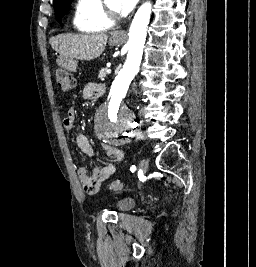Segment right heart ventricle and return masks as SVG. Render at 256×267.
<instances>
[{
  "label": "right heart ventricle",
  "instance_id": "obj_1",
  "mask_svg": "<svg viewBox=\"0 0 256 267\" xmlns=\"http://www.w3.org/2000/svg\"><path fill=\"white\" fill-rule=\"evenodd\" d=\"M80 7L85 11L81 22H74L76 29L84 36H106L102 31L105 0H80Z\"/></svg>",
  "mask_w": 256,
  "mask_h": 267
}]
</instances>
